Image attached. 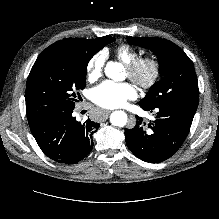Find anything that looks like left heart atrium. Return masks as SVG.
<instances>
[{
	"instance_id": "39dd6f15",
	"label": "left heart atrium",
	"mask_w": 219,
	"mask_h": 219,
	"mask_svg": "<svg viewBox=\"0 0 219 219\" xmlns=\"http://www.w3.org/2000/svg\"><path fill=\"white\" fill-rule=\"evenodd\" d=\"M136 95V90L131 84L112 81L103 82L95 87L92 93L95 104L106 109L123 107Z\"/></svg>"
}]
</instances>
